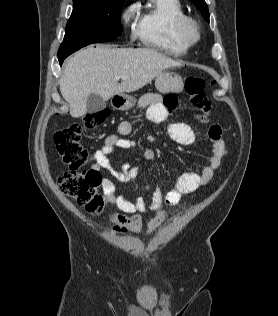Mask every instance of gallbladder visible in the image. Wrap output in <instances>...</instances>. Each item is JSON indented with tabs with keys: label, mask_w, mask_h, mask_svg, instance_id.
<instances>
[{
	"label": "gallbladder",
	"mask_w": 278,
	"mask_h": 316,
	"mask_svg": "<svg viewBox=\"0 0 278 316\" xmlns=\"http://www.w3.org/2000/svg\"><path fill=\"white\" fill-rule=\"evenodd\" d=\"M106 107L105 101L97 94L91 93L87 97V110L88 113H96Z\"/></svg>",
	"instance_id": "1"
}]
</instances>
